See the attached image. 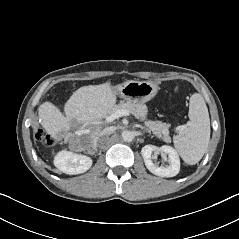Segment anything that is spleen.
<instances>
[{"instance_id": "obj_1", "label": "spleen", "mask_w": 239, "mask_h": 239, "mask_svg": "<svg viewBox=\"0 0 239 239\" xmlns=\"http://www.w3.org/2000/svg\"><path fill=\"white\" fill-rule=\"evenodd\" d=\"M190 122L174 137V146L186 164L198 163L206 152L210 140V118L203 97L194 93L190 98Z\"/></svg>"}]
</instances>
